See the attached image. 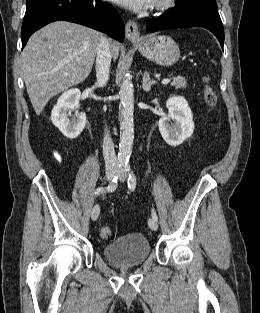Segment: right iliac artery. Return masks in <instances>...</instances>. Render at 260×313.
Here are the masks:
<instances>
[{
	"label": "right iliac artery",
	"mask_w": 260,
	"mask_h": 313,
	"mask_svg": "<svg viewBox=\"0 0 260 313\" xmlns=\"http://www.w3.org/2000/svg\"><path fill=\"white\" fill-rule=\"evenodd\" d=\"M117 181H118V176H114L111 183L106 188L98 187L95 191V195H99L100 193L105 192V191H108V192L114 191L117 187Z\"/></svg>",
	"instance_id": "82829eb1"
}]
</instances>
